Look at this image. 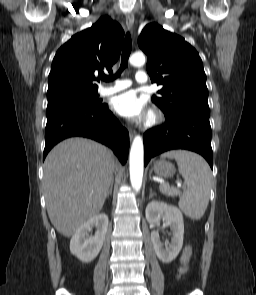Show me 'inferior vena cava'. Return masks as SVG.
<instances>
[{
  "label": "inferior vena cava",
  "instance_id": "1",
  "mask_svg": "<svg viewBox=\"0 0 256 295\" xmlns=\"http://www.w3.org/2000/svg\"><path fill=\"white\" fill-rule=\"evenodd\" d=\"M115 167H120V162H115Z\"/></svg>",
  "mask_w": 256,
  "mask_h": 295
}]
</instances>
